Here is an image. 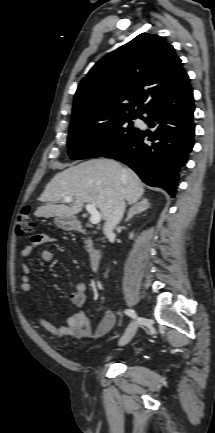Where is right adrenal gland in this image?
<instances>
[{
    "label": "right adrenal gland",
    "mask_w": 215,
    "mask_h": 433,
    "mask_svg": "<svg viewBox=\"0 0 215 433\" xmlns=\"http://www.w3.org/2000/svg\"><path fill=\"white\" fill-rule=\"evenodd\" d=\"M150 207L149 200L147 198H143L140 202L135 203L129 210L128 215L125 219L128 222L134 215L139 214Z\"/></svg>",
    "instance_id": "2a0ac1e0"
}]
</instances>
